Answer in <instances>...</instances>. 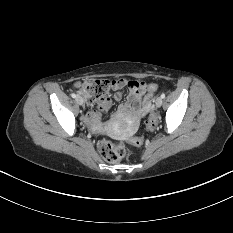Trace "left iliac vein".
<instances>
[{"mask_svg": "<svg viewBox=\"0 0 233 233\" xmlns=\"http://www.w3.org/2000/svg\"><path fill=\"white\" fill-rule=\"evenodd\" d=\"M162 103H163L162 98L161 97H157L156 100H155L156 107L157 108L161 107Z\"/></svg>", "mask_w": 233, "mask_h": 233, "instance_id": "1", "label": "left iliac vein"}]
</instances>
